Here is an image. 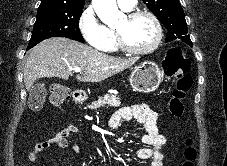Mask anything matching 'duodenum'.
<instances>
[{
  "label": "duodenum",
  "mask_w": 227,
  "mask_h": 166,
  "mask_svg": "<svg viewBox=\"0 0 227 166\" xmlns=\"http://www.w3.org/2000/svg\"><path fill=\"white\" fill-rule=\"evenodd\" d=\"M73 96L76 102H81L83 100V96L79 90L73 91Z\"/></svg>",
  "instance_id": "410a0bca"
}]
</instances>
